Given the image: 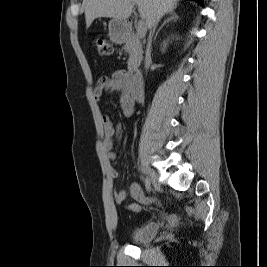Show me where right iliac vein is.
<instances>
[{
    "label": "right iliac vein",
    "instance_id": "63e3f726",
    "mask_svg": "<svg viewBox=\"0 0 267 267\" xmlns=\"http://www.w3.org/2000/svg\"><path fill=\"white\" fill-rule=\"evenodd\" d=\"M146 175L147 177L149 178V180L152 182V184L155 186V187H158L159 186V182H158V177L157 175L155 174V172L151 169H146Z\"/></svg>",
    "mask_w": 267,
    "mask_h": 267
}]
</instances>
